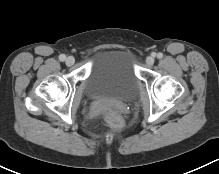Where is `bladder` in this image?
<instances>
[{
	"label": "bladder",
	"mask_w": 219,
	"mask_h": 174,
	"mask_svg": "<svg viewBox=\"0 0 219 174\" xmlns=\"http://www.w3.org/2000/svg\"><path fill=\"white\" fill-rule=\"evenodd\" d=\"M139 78L132 53L125 49H105L92 60L86 79V94L91 99H132Z\"/></svg>",
	"instance_id": "obj_1"
}]
</instances>
